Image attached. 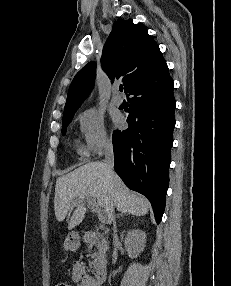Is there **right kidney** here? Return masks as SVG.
I'll return each mask as SVG.
<instances>
[{
  "label": "right kidney",
  "instance_id": "obj_1",
  "mask_svg": "<svg viewBox=\"0 0 231 286\" xmlns=\"http://www.w3.org/2000/svg\"><path fill=\"white\" fill-rule=\"evenodd\" d=\"M145 243L146 234L139 229L129 231L124 240L125 249L131 258H136L143 252Z\"/></svg>",
  "mask_w": 231,
  "mask_h": 286
}]
</instances>
